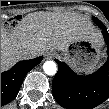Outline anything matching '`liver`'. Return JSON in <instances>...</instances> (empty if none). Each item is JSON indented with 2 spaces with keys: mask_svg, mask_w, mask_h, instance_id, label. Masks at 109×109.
I'll list each match as a JSON object with an SVG mask.
<instances>
[{
  "mask_svg": "<svg viewBox=\"0 0 109 109\" xmlns=\"http://www.w3.org/2000/svg\"><path fill=\"white\" fill-rule=\"evenodd\" d=\"M79 39L103 44V36L75 12H34L26 15L13 29L1 28V70L11 68L21 58L20 49H31L36 56L49 49L64 50Z\"/></svg>",
  "mask_w": 109,
  "mask_h": 109,
  "instance_id": "liver-1",
  "label": "liver"
}]
</instances>
